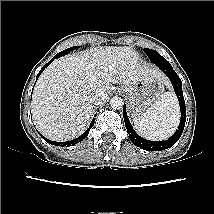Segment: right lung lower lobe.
<instances>
[{"instance_id":"1","label":"right lung lower lobe","mask_w":214,"mask_h":214,"mask_svg":"<svg viewBox=\"0 0 214 214\" xmlns=\"http://www.w3.org/2000/svg\"><path fill=\"white\" fill-rule=\"evenodd\" d=\"M57 58H59V57L54 56L53 59L50 60V61L40 70V72H39L38 75H37V79H38V77L40 76V74L43 72V70H44L54 59H57ZM37 79H36V80H37ZM93 122H94V121H93ZM93 122L91 123L90 127H89L81 136H79L78 138L73 139V140H71V141H68V142H54V141H50V140L46 139V138L43 137L42 135H41V137H42L46 142H48V143H50V144H52V145H55V146H73V145L79 143L80 141H82L83 139H85V138L88 136L90 129H91L92 126L94 125Z\"/></svg>"}]
</instances>
